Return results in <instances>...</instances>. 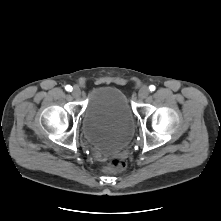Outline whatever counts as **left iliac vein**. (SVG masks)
Masks as SVG:
<instances>
[{
	"label": "left iliac vein",
	"instance_id": "4c4485c4",
	"mask_svg": "<svg viewBox=\"0 0 221 221\" xmlns=\"http://www.w3.org/2000/svg\"><path fill=\"white\" fill-rule=\"evenodd\" d=\"M149 95V89L147 86H142L138 92V97L144 99Z\"/></svg>",
	"mask_w": 221,
	"mask_h": 221
}]
</instances>
